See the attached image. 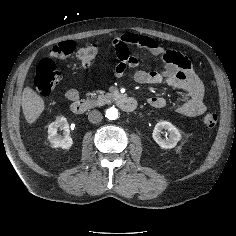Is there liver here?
Listing matches in <instances>:
<instances>
[{
	"mask_svg": "<svg viewBox=\"0 0 236 236\" xmlns=\"http://www.w3.org/2000/svg\"><path fill=\"white\" fill-rule=\"evenodd\" d=\"M45 109L44 100L30 87L22 93V110L26 121L33 124Z\"/></svg>",
	"mask_w": 236,
	"mask_h": 236,
	"instance_id": "liver-1",
	"label": "liver"
}]
</instances>
